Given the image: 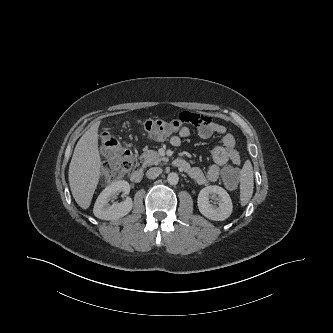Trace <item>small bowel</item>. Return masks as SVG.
I'll return each instance as SVG.
<instances>
[{"label": "small bowel", "instance_id": "small-bowel-1", "mask_svg": "<svg viewBox=\"0 0 333 333\" xmlns=\"http://www.w3.org/2000/svg\"><path fill=\"white\" fill-rule=\"evenodd\" d=\"M179 119L183 123L196 125V134L201 139H208L215 134L222 136V143L213 149L214 163L206 171L196 166H189L185 170L196 182L204 184L217 181L221 175L222 168L228 162L240 166L241 157L236 149L235 139L231 134L227 133L224 126L215 123L208 117L191 112L181 113ZM191 134L192 132L189 127L185 125L181 126L177 135L171 137L170 144L174 147H179L182 143V138L190 137Z\"/></svg>", "mask_w": 333, "mask_h": 333}]
</instances>
